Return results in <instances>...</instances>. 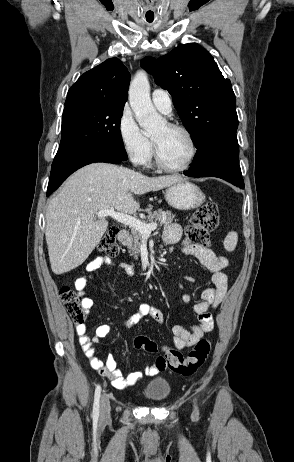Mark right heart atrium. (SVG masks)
Returning <instances> with one entry per match:
<instances>
[{"label": "right heart atrium", "instance_id": "1", "mask_svg": "<svg viewBox=\"0 0 294 462\" xmlns=\"http://www.w3.org/2000/svg\"><path fill=\"white\" fill-rule=\"evenodd\" d=\"M117 130L124 152L136 165L145 164L152 151V144L138 126L129 106H124L117 122Z\"/></svg>", "mask_w": 294, "mask_h": 462}]
</instances>
